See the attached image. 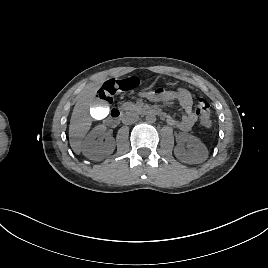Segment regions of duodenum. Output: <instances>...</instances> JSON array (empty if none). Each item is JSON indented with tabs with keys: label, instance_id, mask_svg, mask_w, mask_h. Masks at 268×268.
Here are the masks:
<instances>
[{
	"label": "duodenum",
	"instance_id": "1",
	"mask_svg": "<svg viewBox=\"0 0 268 268\" xmlns=\"http://www.w3.org/2000/svg\"><path fill=\"white\" fill-rule=\"evenodd\" d=\"M139 111L148 114H153L159 117H164V113L155 109L140 108ZM121 118H122V111L118 108H112L110 111L109 118L107 119V122L109 124H117L120 122Z\"/></svg>",
	"mask_w": 268,
	"mask_h": 268
}]
</instances>
